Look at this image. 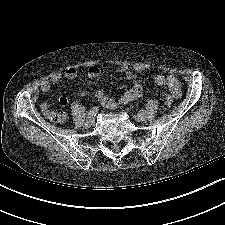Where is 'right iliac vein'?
Instances as JSON below:
<instances>
[{"label": "right iliac vein", "instance_id": "right-iliac-vein-1", "mask_svg": "<svg viewBox=\"0 0 225 225\" xmlns=\"http://www.w3.org/2000/svg\"><path fill=\"white\" fill-rule=\"evenodd\" d=\"M93 125V119H87L84 123H83V127L88 129Z\"/></svg>", "mask_w": 225, "mask_h": 225}]
</instances>
